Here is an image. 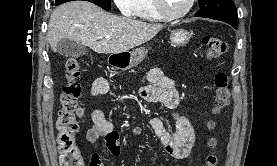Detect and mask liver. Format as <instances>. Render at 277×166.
I'll return each instance as SVG.
<instances>
[{
  "label": "liver",
  "mask_w": 277,
  "mask_h": 166,
  "mask_svg": "<svg viewBox=\"0 0 277 166\" xmlns=\"http://www.w3.org/2000/svg\"><path fill=\"white\" fill-rule=\"evenodd\" d=\"M163 27L112 15L91 2L75 0L52 12L47 38L54 52L60 40L70 39L97 53L117 54L150 41Z\"/></svg>",
  "instance_id": "liver-1"
}]
</instances>
